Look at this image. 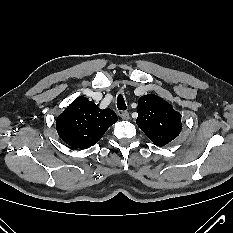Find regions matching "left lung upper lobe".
<instances>
[{
    "label": "left lung upper lobe",
    "instance_id": "obj_1",
    "mask_svg": "<svg viewBox=\"0 0 233 233\" xmlns=\"http://www.w3.org/2000/svg\"><path fill=\"white\" fill-rule=\"evenodd\" d=\"M137 125L157 146L174 140L182 130L180 113L154 94L142 96L138 102Z\"/></svg>",
    "mask_w": 233,
    "mask_h": 233
}]
</instances>
